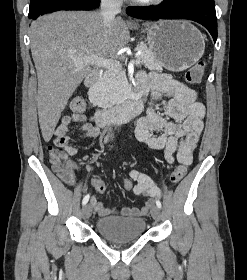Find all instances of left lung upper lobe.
Returning a JSON list of instances; mask_svg holds the SVG:
<instances>
[{
  "mask_svg": "<svg viewBox=\"0 0 247 280\" xmlns=\"http://www.w3.org/2000/svg\"><path fill=\"white\" fill-rule=\"evenodd\" d=\"M165 1H167V2H171V1H178V0H165Z\"/></svg>",
  "mask_w": 247,
  "mask_h": 280,
  "instance_id": "5c2ea615",
  "label": "left lung upper lobe"
}]
</instances>
